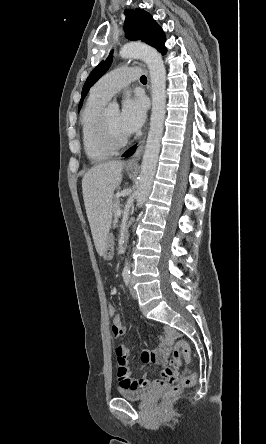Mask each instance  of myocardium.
Segmentation results:
<instances>
[{
    "label": "myocardium",
    "mask_w": 266,
    "mask_h": 444,
    "mask_svg": "<svg viewBox=\"0 0 266 444\" xmlns=\"http://www.w3.org/2000/svg\"><path fill=\"white\" fill-rule=\"evenodd\" d=\"M107 110H103L97 120L95 127V135L98 142L106 149L116 151L124 148L129 142V136H126L120 141H115L111 138L108 132L107 120H106Z\"/></svg>",
    "instance_id": "obj_1"
}]
</instances>
